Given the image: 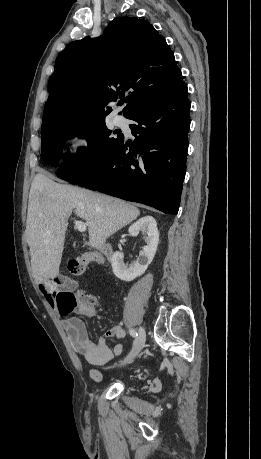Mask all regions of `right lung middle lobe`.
Listing matches in <instances>:
<instances>
[{"label": "right lung middle lobe", "mask_w": 261, "mask_h": 459, "mask_svg": "<svg viewBox=\"0 0 261 459\" xmlns=\"http://www.w3.org/2000/svg\"><path fill=\"white\" fill-rule=\"evenodd\" d=\"M41 136V157L53 166L59 165V156L68 139L75 136L87 139V149H79L76 155L67 153L62 156H68V159L64 161L57 175L69 182L88 174L102 164L110 157L123 138L122 134H118L116 138L112 137L111 130H108L105 125V120L85 124L59 125L41 132Z\"/></svg>", "instance_id": "obj_1"}]
</instances>
